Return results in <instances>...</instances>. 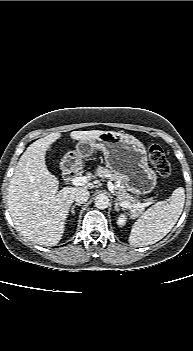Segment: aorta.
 <instances>
[{"label": "aorta", "mask_w": 193, "mask_h": 351, "mask_svg": "<svg viewBox=\"0 0 193 351\" xmlns=\"http://www.w3.org/2000/svg\"><path fill=\"white\" fill-rule=\"evenodd\" d=\"M95 206L98 209H106L109 206V199L104 194H99L95 198Z\"/></svg>", "instance_id": "aorta-1"}]
</instances>
